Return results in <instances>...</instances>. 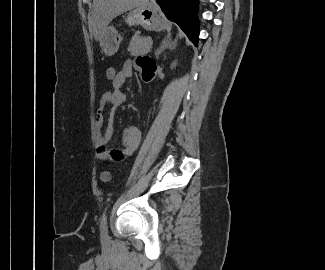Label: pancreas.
Segmentation results:
<instances>
[{"label":"pancreas","instance_id":"cf45deb5","mask_svg":"<svg viewBox=\"0 0 325 270\" xmlns=\"http://www.w3.org/2000/svg\"><path fill=\"white\" fill-rule=\"evenodd\" d=\"M149 38L135 34L129 44L128 51L132 56L144 55L150 50Z\"/></svg>","mask_w":325,"mask_h":270}]
</instances>
